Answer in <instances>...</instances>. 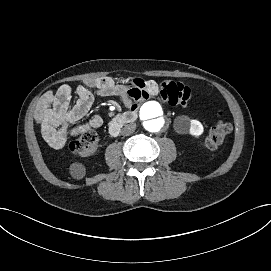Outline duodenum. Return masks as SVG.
Masks as SVG:
<instances>
[{
	"instance_id": "410a0bca",
	"label": "duodenum",
	"mask_w": 271,
	"mask_h": 271,
	"mask_svg": "<svg viewBox=\"0 0 271 271\" xmlns=\"http://www.w3.org/2000/svg\"><path fill=\"white\" fill-rule=\"evenodd\" d=\"M137 116L138 114L136 111H127L117 116L112 120V122L109 125L110 134L112 136H117L122 126L136 121Z\"/></svg>"
}]
</instances>
